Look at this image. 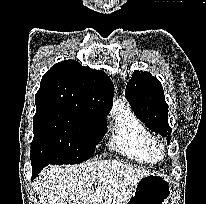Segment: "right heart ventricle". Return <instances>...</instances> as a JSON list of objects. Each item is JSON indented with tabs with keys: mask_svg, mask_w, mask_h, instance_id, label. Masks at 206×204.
Segmentation results:
<instances>
[{
	"mask_svg": "<svg viewBox=\"0 0 206 204\" xmlns=\"http://www.w3.org/2000/svg\"><path fill=\"white\" fill-rule=\"evenodd\" d=\"M111 127L113 150L141 164L158 161L153 153L154 136L126 104L116 109Z\"/></svg>",
	"mask_w": 206,
	"mask_h": 204,
	"instance_id": "right-heart-ventricle-1",
	"label": "right heart ventricle"
}]
</instances>
